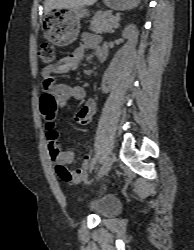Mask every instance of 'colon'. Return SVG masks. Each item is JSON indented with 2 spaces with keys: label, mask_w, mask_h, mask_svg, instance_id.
Instances as JSON below:
<instances>
[{
  "label": "colon",
  "mask_w": 194,
  "mask_h": 250,
  "mask_svg": "<svg viewBox=\"0 0 194 250\" xmlns=\"http://www.w3.org/2000/svg\"><path fill=\"white\" fill-rule=\"evenodd\" d=\"M39 58L42 63L53 66L56 64V51L52 44H44L39 50ZM49 82V81H48ZM41 110L44 116H54L57 111V103L52 94L46 92L41 97ZM57 173L65 178H70L69 170L64 166L56 167Z\"/></svg>",
  "instance_id": "colon-1"
}]
</instances>
